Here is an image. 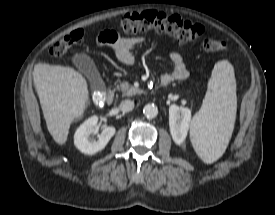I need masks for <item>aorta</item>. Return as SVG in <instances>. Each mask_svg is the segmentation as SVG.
Returning a JSON list of instances; mask_svg holds the SVG:
<instances>
[{"label":"aorta","instance_id":"1","mask_svg":"<svg viewBox=\"0 0 275 215\" xmlns=\"http://www.w3.org/2000/svg\"><path fill=\"white\" fill-rule=\"evenodd\" d=\"M143 114L149 119L155 118L158 114V108L154 104H147L143 108Z\"/></svg>","mask_w":275,"mask_h":215}]
</instances>
